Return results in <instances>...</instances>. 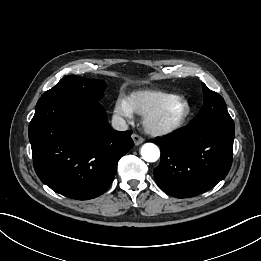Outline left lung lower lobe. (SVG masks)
<instances>
[{
	"instance_id": "1",
	"label": "left lung lower lobe",
	"mask_w": 261,
	"mask_h": 261,
	"mask_svg": "<svg viewBox=\"0 0 261 261\" xmlns=\"http://www.w3.org/2000/svg\"><path fill=\"white\" fill-rule=\"evenodd\" d=\"M233 121L189 124L158 137L161 161L154 169L158 186L187 198L203 193L225 178L232 164Z\"/></svg>"
}]
</instances>
